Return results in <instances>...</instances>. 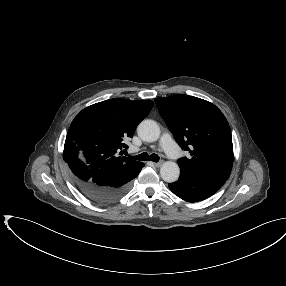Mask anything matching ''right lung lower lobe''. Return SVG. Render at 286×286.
Instances as JSON below:
<instances>
[{
  "label": "right lung lower lobe",
  "mask_w": 286,
  "mask_h": 286,
  "mask_svg": "<svg viewBox=\"0 0 286 286\" xmlns=\"http://www.w3.org/2000/svg\"><path fill=\"white\" fill-rule=\"evenodd\" d=\"M67 164L74 174L77 188L90 200L99 204H110L123 197L130 188L131 180L138 176L144 164L141 163L131 173L114 180H107L105 185H100L96 176L73 158ZM104 183V182H102Z\"/></svg>",
  "instance_id": "98d812e1"
}]
</instances>
